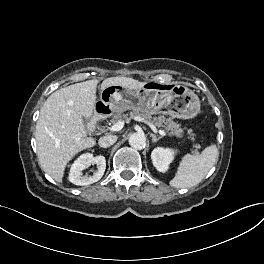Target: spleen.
Here are the masks:
<instances>
[{
    "label": "spleen",
    "mask_w": 264,
    "mask_h": 264,
    "mask_svg": "<svg viewBox=\"0 0 264 264\" xmlns=\"http://www.w3.org/2000/svg\"><path fill=\"white\" fill-rule=\"evenodd\" d=\"M218 160V149L212 144L200 155L186 154L179 163L170 185L175 188H190L199 184Z\"/></svg>",
    "instance_id": "obj_1"
}]
</instances>
